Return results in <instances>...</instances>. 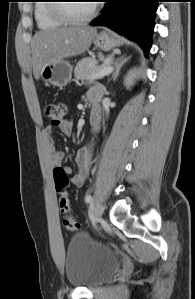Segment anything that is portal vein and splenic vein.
Here are the masks:
<instances>
[{"label":"portal vein and splenic vein","mask_w":195,"mask_h":299,"mask_svg":"<svg viewBox=\"0 0 195 299\" xmlns=\"http://www.w3.org/2000/svg\"><path fill=\"white\" fill-rule=\"evenodd\" d=\"M113 68L111 66H105L102 69H100L99 71H97L95 74H93L90 77V81H93L95 79H99L104 77L105 75H108L112 72Z\"/></svg>","instance_id":"portal-vein-and-splenic-vein-1"}]
</instances>
